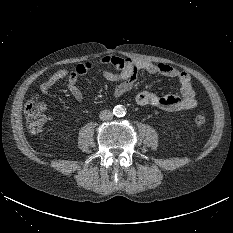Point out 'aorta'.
<instances>
[{
	"instance_id": "aorta-1",
	"label": "aorta",
	"mask_w": 233,
	"mask_h": 233,
	"mask_svg": "<svg viewBox=\"0 0 233 233\" xmlns=\"http://www.w3.org/2000/svg\"><path fill=\"white\" fill-rule=\"evenodd\" d=\"M113 113L118 117H123L126 114V109L122 105H117L114 107Z\"/></svg>"
}]
</instances>
